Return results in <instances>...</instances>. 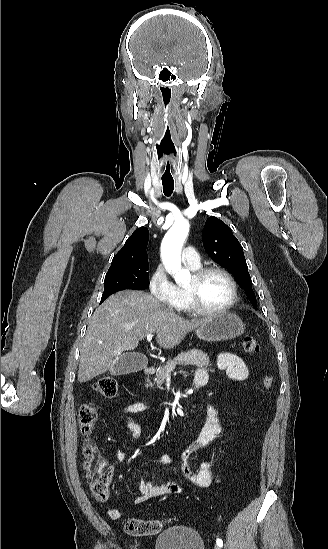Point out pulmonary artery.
I'll list each match as a JSON object with an SVG mask.
<instances>
[{
  "label": "pulmonary artery",
  "instance_id": "pulmonary-artery-1",
  "mask_svg": "<svg viewBox=\"0 0 328 549\" xmlns=\"http://www.w3.org/2000/svg\"><path fill=\"white\" fill-rule=\"evenodd\" d=\"M200 250L197 246L186 247L182 252V259L185 262L196 263L200 260Z\"/></svg>",
  "mask_w": 328,
  "mask_h": 549
}]
</instances>
